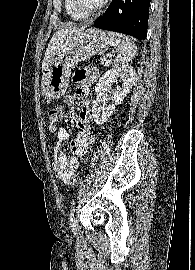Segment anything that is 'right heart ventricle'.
Wrapping results in <instances>:
<instances>
[{
	"mask_svg": "<svg viewBox=\"0 0 195 270\" xmlns=\"http://www.w3.org/2000/svg\"><path fill=\"white\" fill-rule=\"evenodd\" d=\"M65 10L66 13L68 14V16L70 18H72L73 20L76 21H81V20H85L87 19V17L81 15L80 13H78L72 6L71 0H65Z\"/></svg>",
	"mask_w": 195,
	"mask_h": 270,
	"instance_id": "1",
	"label": "right heart ventricle"
}]
</instances>
